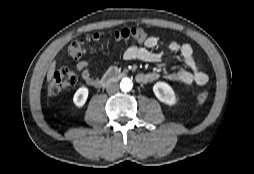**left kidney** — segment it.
<instances>
[{"mask_svg":"<svg viewBox=\"0 0 254 174\" xmlns=\"http://www.w3.org/2000/svg\"><path fill=\"white\" fill-rule=\"evenodd\" d=\"M153 92L157 99L167 105H174L177 103V98L173 88L166 82H157L153 86Z\"/></svg>","mask_w":254,"mask_h":174,"instance_id":"left-kidney-1","label":"left kidney"}]
</instances>
